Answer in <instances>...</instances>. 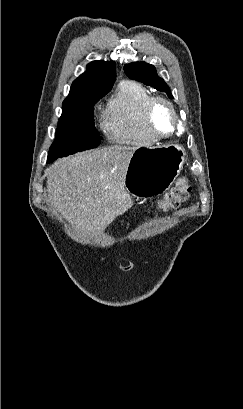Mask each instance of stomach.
<instances>
[{"instance_id":"stomach-1","label":"stomach","mask_w":243,"mask_h":409,"mask_svg":"<svg viewBox=\"0 0 243 409\" xmlns=\"http://www.w3.org/2000/svg\"><path fill=\"white\" fill-rule=\"evenodd\" d=\"M185 156L184 148L173 143L136 149L125 176L126 191L135 197L165 192L180 173Z\"/></svg>"}]
</instances>
